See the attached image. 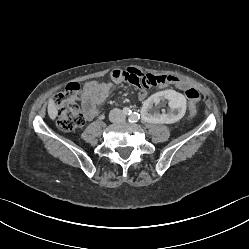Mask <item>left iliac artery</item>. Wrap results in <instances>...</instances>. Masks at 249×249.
<instances>
[{
  "mask_svg": "<svg viewBox=\"0 0 249 249\" xmlns=\"http://www.w3.org/2000/svg\"><path fill=\"white\" fill-rule=\"evenodd\" d=\"M140 118V115L137 113V112H134L130 118H129V121L130 122H137V120Z\"/></svg>",
  "mask_w": 249,
  "mask_h": 249,
  "instance_id": "obj_1",
  "label": "left iliac artery"
}]
</instances>
